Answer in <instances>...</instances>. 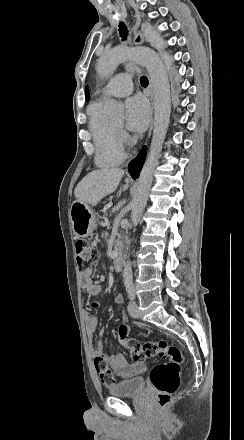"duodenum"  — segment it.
I'll use <instances>...</instances> for the list:
<instances>
[{
  "label": "duodenum",
  "instance_id": "1",
  "mask_svg": "<svg viewBox=\"0 0 244 440\" xmlns=\"http://www.w3.org/2000/svg\"><path fill=\"white\" fill-rule=\"evenodd\" d=\"M123 254L120 251L115 252L113 257V268L117 273H120L123 268Z\"/></svg>",
  "mask_w": 244,
  "mask_h": 440
}]
</instances>
